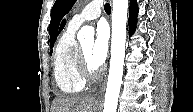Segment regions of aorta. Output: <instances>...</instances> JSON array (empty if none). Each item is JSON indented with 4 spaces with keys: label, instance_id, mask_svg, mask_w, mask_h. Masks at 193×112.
<instances>
[{
    "label": "aorta",
    "instance_id": "aorta-1",
    "mask_svg": "<svg viewBox=\"0 0 193 112\" xmlns=\"http://www.w3.org/2000/svg\"><path fill=\"white\" fill-rule=\"evenodd\" d=\"M127 11L128 0H113L111 60L103 112H116L117 109L125 58ZM93 36L94 30L83 26L77 38L83 41Z\"/></svg>",
    "mask_w": 193,
    "mask_h": 112
}]
</instances>
